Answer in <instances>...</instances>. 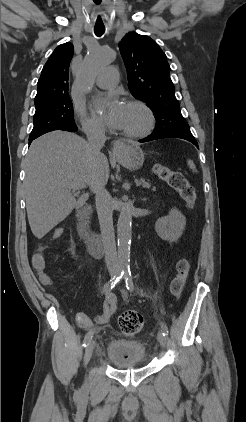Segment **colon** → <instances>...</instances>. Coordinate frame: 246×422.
I'll use <instances>...</instances> for the list:
<instances>
[{
  "mask_svg": "<svg viewBox=\"0 0 246 422\" xmlns=\"http://www.w3.org/2000/svg\"><path fill=\"white\" fill-rule=\"evenodd\" d=\"M155 174L166 181L173 188L182 200L192 207L196 202V191L185 176L178 171H173L166 166L156 164L154 167ZM61 234V230L57 229L52 234V239H56ZM34 265L38 269L44 266V259L41 254H36L33 259ZM190 271V263L187 259H182L177 264V275L172 281L171 292L175 298H179L183 293L188 275ZM118 324L123 333L127 335H135L139 333L144 325L143 317L134 310H128L121 314Z\"/></svg>",
  "mask_w": 246,
  "mask_h": 422,
  "instance_id": "colon-1",
  "label": "colon"
}]
</instances>
